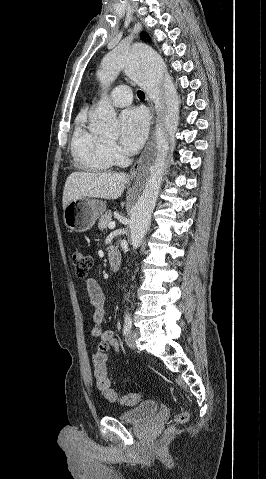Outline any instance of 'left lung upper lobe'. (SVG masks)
Listing matches in <instances>:
<instances>
[{
  "instance_id": "1",
  "label": "left lung upper lobe",
  "mask_w": 266,
  "mask_h": 479,
  "mask_svg": "<svg viewBox=\"0 0 266 479\" xmlns=\"http://www.w3.org/2000/svg\"><path fill=\"white\" fill-rule=\"evenodd\" d=\"M141 39H142V40H145V41H149V40H150L149 36H148L146 33H144V32L141 33Z\"/></svg>"
}]
</instances>
